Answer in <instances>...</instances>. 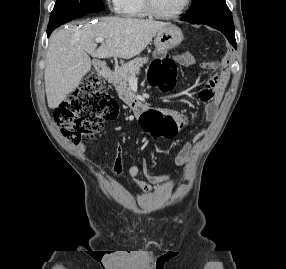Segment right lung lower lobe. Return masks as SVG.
<instances>
[{
	"instance_id": "obj_1",
	"label": "right lung lower lobe",
	"mask_w": 286,
	"mask_h": 269,
	"mask_svg": "<svg viewBox=\"0 0 286 269\" xmlns=\"http://www.w3.org/2000/svg\"><path fill=\"white\" fill-rule=\"evenodd\" d=\"M53 30H54V29H49V30H47V36H48V37L50 36V34L52 33Z\"/></svg>"
}]
</instances>
